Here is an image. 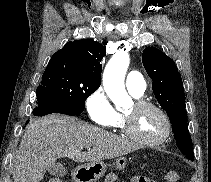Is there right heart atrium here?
Segmentation results:
<instances>
[{
    "instance_id": "d8ad5b80",
    "label": "right heart atrium",
    "mask_w": 211,
    "mask_h": 182,
    "mask_svg": "<svg viewBox=\"0 0 211 182\" xmlns=\"http://www.w3.org/2000/svg\"><path fill=\"white\" fill-rule=\"evenodd\" d=\"M90 120L100 126H110L116 119V110L108 99L104 89L98 87L85 101Z\"/></svg>"
}]
</instances>
